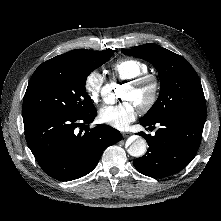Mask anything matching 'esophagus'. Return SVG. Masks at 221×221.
I'll use <instances>...</instances> for the list:
<instances>
[{"mask_svg":"<svg viewBox=\"0 0 221 221\" xmlns=\"http://www.w3.org/2000/svg\"><path fill=\"white\" fill-rule=\"evenodd\" d=\"M122 136H123L124 138H128V137L131 136V133H130V132H123V133H122Z\"/></svg>","mask_w":221,"mask_h":221,"instance_id":"1","label":"esophagus"}]
</instances>
